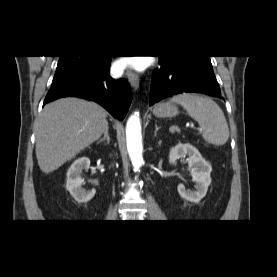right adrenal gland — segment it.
I'll return each instance as SVG.
<instances>
[{
	"label": "right adrenal gland",
	"mask_w": 277,
	"mask_h": 277,
	"mask_svg": "<svg viewBox=\"0 0 277 277\" xmlns=\"http://www.w3.org/2000/svg\"><path fill=\"white\" fill-rule=\"evenodd\" d=\"M108 131H109V128L107 127L106 130H105V132H104L103 138H101V139L97 142L98 144L101 143V142H104V141H106L107 144L110 143V136H109Z\"/></svg>",
	"instance_id": "1"
}]
</instances>
